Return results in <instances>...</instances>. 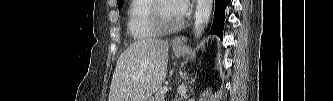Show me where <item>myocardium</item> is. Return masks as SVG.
<instances>
[{"label": "myocardium", "instance_id": "1", "mask_svg": "<svg viewBox=\"0 0 333 101\" xmlns=\"http://www.w3.org/2000/svg\"><path fill=\"white\" fill-rule=\"evenodd\" d=\"M167 1H155L151 9V21L155 29L162 34L178 31L184 25V18H180L176 23L167 25L161 14L163 3Z\"/></svg>", "mask_w": 333, "mask_h": 101}]
</instances>
